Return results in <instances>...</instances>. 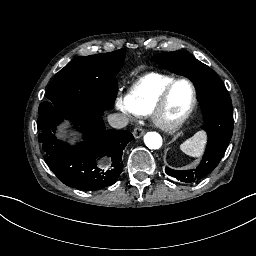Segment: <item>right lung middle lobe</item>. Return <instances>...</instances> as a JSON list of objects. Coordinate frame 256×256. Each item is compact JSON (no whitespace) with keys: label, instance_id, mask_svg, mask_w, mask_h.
I'll list each match as a JSON object with an SVG mask.
<instances>
[{"label":"right lung middle lobe","instance_id":"obj_1","mask_svg":"<svg viewBox=\"0 0 256 256\" xmlns=\"http://www.w3.org/2000/svg\"><path fill=\"white\" fill-rule=\"evenodd\" d=\"M125 55L126 50L120 49L70 61L49 84L38 122L75 107L112 108L117 94L115 76Z\"/></svg>","mask_w":256,"mask_h":256}]
</instances>
